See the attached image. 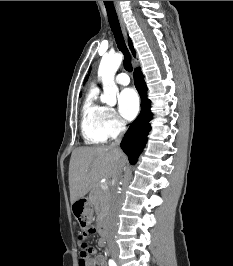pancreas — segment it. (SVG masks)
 <instances>
[{
  "label": "pancreas",
  "instance_id": "obj_1",
  "mask_svg": "<svg viewBox=\"0 0 233 266\" xmlns=\"http://www.w3.org/2000/svg\"><path fill=\"white\" fill-rule=\"evenodd\" d=\"M90 201L98 210V217H104L109 209L110 192L96 185L90 193Z\"/></svg>",
  "mask_w": 233,
  "mask_h": 266
}]
</instances>
